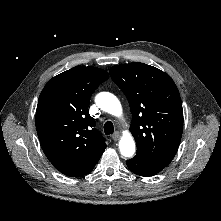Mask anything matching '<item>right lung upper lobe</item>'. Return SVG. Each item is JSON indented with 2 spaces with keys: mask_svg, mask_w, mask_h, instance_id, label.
Masks as SVG:
<instances>
[{
  "mask_svg": "<svg viewBox=\"0 0 221 221\" xmlns=\"http://www.w3.org/2000/svg\"><path fill=\"white\" fill-rule=\"evenodd\" d=\"M108 77L100 68L76 66L49 80L39 96L36 129L41 146L54 167L67 176L90 172L106 148L88 105Z\"/></svg>",
  "mask_w": 221,
  "mask_h": 221,
  "instance_id": "right-lung-upper-lobe-1",
  "label": "right lung upper lobe"
}]
</instances>
